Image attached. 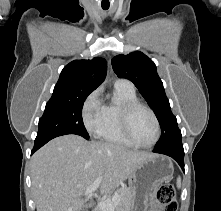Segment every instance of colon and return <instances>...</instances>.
Wrapping results in <instances>:
<instances>
[{"label":"colon","instance_id":"obj_1","mask_svg":"<svg viewBox=\"0 0 221 211\" xmlns=\"http://www.w3.org/2000/svg\"><path fill=\"white\" fill-rule=\"evenodd\" d=\"M156 205L158 211H177L175 190L172 184L161 185L157 193Z\"/></svg>","mask_w":221,"mask_h":211}]
</instances>
